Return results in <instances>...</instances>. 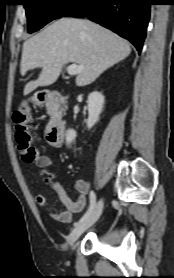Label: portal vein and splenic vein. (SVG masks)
<instances>
[{
    "instance_id": "18ae733b",
    "label": "portal vein and splenic vein",
    "mask_w": 174,
    "mask_h": 278,
    "mask_svg": "<svg viewBox=\"0 0 174 278\" xmlns=\"http://www.w3.org/2000/svg\"><path fill=\"white\" fill-rule=\"evenodd\" d=\"M84 70L83 66L77 65V64H71L67 67V72L70 75H76L81 73Z\"/></svg>"
}]
</instances>
